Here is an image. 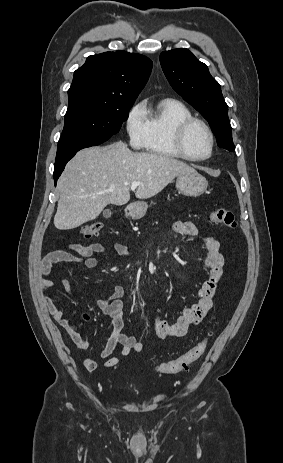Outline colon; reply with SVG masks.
Here are the masks:
<instances>
[{
	"label": "colon",
	"instance_id": "1",
	"mask_svg": "<svg viewBox=\"0 0 283 463\" xmlns=\"http://www.w3.org/2000/svg\"><path fill=\"white\" fill-rule=\"evenodd\" d=\"M210 219L213 223L223 225L230 229H235L237 226V221L233 212L228 209L218 208L212 210ZM101 230L102 224L100 222H92L81 228V235L89 239L97 236ZM206 347L207 340L204 339L180 356L159 364L157 370L162 374H175L186 370L204 354Z\"/></svg>",
	"mask_w": 283,
	"mask_h": 463
}]
</instances>
